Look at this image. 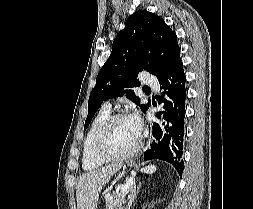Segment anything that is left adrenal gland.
Returning <instances> with one entry per match:
<instances>
[{
	"label": "left adrenal gland",
	"instance_id": "1",
	"mask_svg": "<svg viewBox=\"0 0 253 209\" xmlns=\"http://www.w3.org/2000/svg\"><path fill=\"white\" fill-rule=\"evenodd\" d=\"M140 186H141V184L138 185L137 187L134 184V186L131 188L130 194L128 196V208L127 209H131L134 199L136 198V196L139 192Z\"/></svg>",
	"mask_w": 253,
	"mask_h": 209
}]
</instances>
